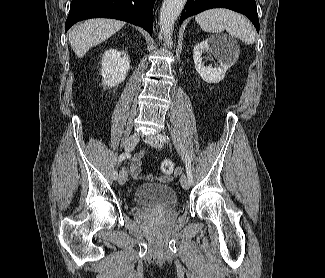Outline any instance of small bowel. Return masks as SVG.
<instances>
[{
    "label": "small bowel",
    "instance_id": "1",
    "mask_svg": "<svg viewBox=\"0 0 325 278\" xmlns=\"http://www.w3.org/2000/svg\"><path fill=\"white\" fill-rule=\"evenodd\" d=\"M143 155H144V152L140 151L133 157V159L130 163V174L134 180H139L142 177L141 176V158L143 157ZM180 173H181V171L177 170L175 175L178 176V175H180Z\"/></svg>",
    "mask_w": 325,
    "mask_h": 278
}]
</instances>
